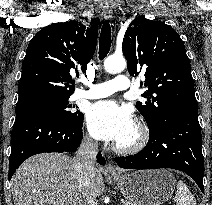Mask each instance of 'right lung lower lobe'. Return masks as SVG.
Returning a JSON list of instances; mask_svg holds the SVG:
<instances>
[{
  "label": "right lung lower lobe",
  "instance_id": "obj_1",
  "mask_svg": "<svg viewBox=\"0 0 212 205\" xmlns=\"http://www.w3.org/2000/svg\"><path fill=\"white\" fill-rule=\"evenodd\" d=\"M83 121L72 124L52 113L40 110L16 114L9 158V180L28 157L45 152L73 153L81 144ZM97 162L105 164L99 153Z\"/></svg>",
  "mask_w": 212,
  "mask_h": 205
}]
</instances>
